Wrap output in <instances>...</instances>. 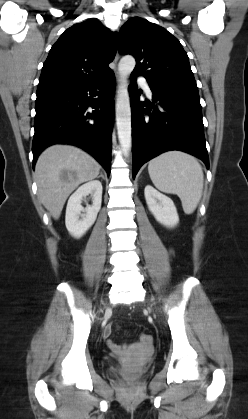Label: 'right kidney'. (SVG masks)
<instances>
[{
	"label": "right kidney",
	"instance_id": "ca27d5eb",
	"mask_svg": "<svg viewBox=\"0 0 248 419\" xmlns=\"http://www.w3.org/2000/svg\"><path fill=\"white\" fill-rule=\"evenodd\" d=\"M89 194L92 196L93 204L84 208L81 205L82 200ZM101 201L102 184L99 180L83 184L70 196L66 208L65 224L73 237H82L94 224L101 208Z\"/></svg>",
	"mask_w": 248,
	"mask_h": 419
}]
</instances>
